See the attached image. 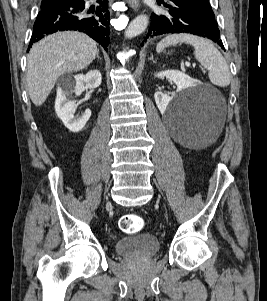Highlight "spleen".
I'll use <instances>...</instances> for the list:
<instances>
[{"mask_svg":"<svg viewBox=\"0 0 267 301\" xmlns=\"http://www.w3.org/2000/svg\"><path fill=\"white\" fill-rule=\"evenodd\" d=\"M178 43H187L194 47L195 58L209 70L208 76L211 83L219 87H226L230 84L231 75L226 60L206 39L185 33L168 35L157 44L156 51L159 53L164 48Z\"/></svg>","mask_w":267,"mask_h":301,"instance_id":"3e777b00","label":"spleen"}]
</instances>
